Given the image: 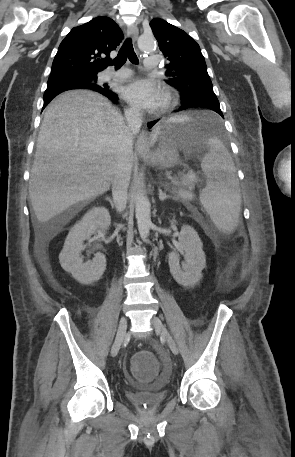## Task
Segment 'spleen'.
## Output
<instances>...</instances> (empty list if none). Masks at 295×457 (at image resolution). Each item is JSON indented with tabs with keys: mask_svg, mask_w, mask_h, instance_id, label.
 Listing matches in <instances>:
<instances>
[{
	"mask_svg": "<svg viewBox=\"0 0 295 457\" xmlns=\"http://www.w3.org/2000/svg\"><path fill=\"white\" fill-rule=\"evenodd\" d=\"M175 116L169 122L187 119ZM209 150L204 155L201 168L206 176V187L200 193V202L215 226L224 233H231L238 225L241 209L239 181L231 155L216 137L208 140Z\"/></svg>",
	"mask_w": 295,
	"mask_h": 457,
	"instance_id": "3e777b00",
	"label": "spleen"
}]
</instances>
